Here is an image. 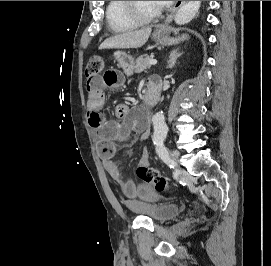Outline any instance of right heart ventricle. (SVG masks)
<instances>
[{"label": "right heart ventricle", "instance_id": "right-heart-ventricle-1", "mask_svg": "<svg viewBox=\"0 0 271 266\" xmlns=\"http://www.w3.org/2000/svg\"><path fill=\"white\" fill-rule=\"evenodd\" d=\"M106 20L110 29L117 33L129 32L138 26L127 16L123 8V1H108Z\"/></svg>", "mask_w": 271, "mask_h": 266}]
</instances>
